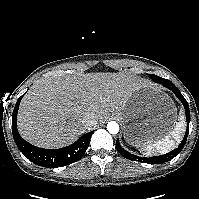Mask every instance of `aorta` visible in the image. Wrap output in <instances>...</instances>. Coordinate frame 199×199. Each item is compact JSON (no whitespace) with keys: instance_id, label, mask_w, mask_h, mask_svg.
I'll return each mask as SVG.
<instances>
[{"instance_id":"obj_1","label":"aorta","mask_w":199,"mask_h":199,"mask_svg":"<svg viewBox=\"0 0 199 199\" xmlns=\"http://www.w3.org/2000/svg\"><path fill=\"white\" fill-rule=\"evenodd\" d=\"M107 130L111 134H116L119 131V125L116 122H110L107 125Z\"/></svg>"}]
</instances>
